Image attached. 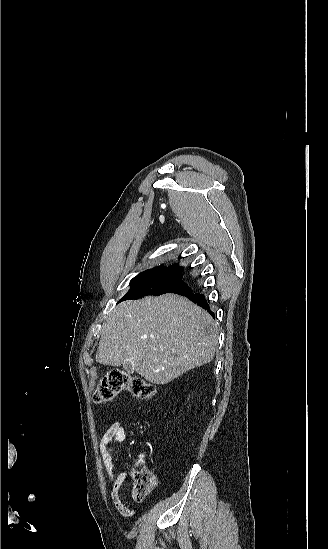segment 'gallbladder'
I'll use <instances>...</instances> for the list:
<instances>
[{
    "instance_id": "1",
    "label": "gallbladder",
    "mask_w": 328,
    "mask_h": 549,
    "mask_svg": "<svg viewBox=\"0 0 328 549\" xmlns=\"http://www.w3.org/2000/svg\"><path fill=\"white\" fill-rule=\"evenodd\" d=\"M123 369L127 371L128 375H133L135 371L133 363H131V361H126V363H123Z\"/></svg>"
}]
</instances>
